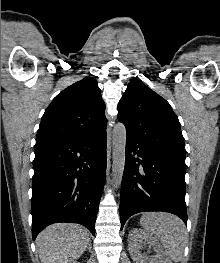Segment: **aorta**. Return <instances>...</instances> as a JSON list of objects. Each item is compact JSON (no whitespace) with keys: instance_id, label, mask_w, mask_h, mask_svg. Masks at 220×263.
I'll return each instance as SVG.
<instances>
[{"instance_id":"aorta-1","label":"aorta","mask_w":220,"mask_h":263,"mask_svg":"<svg viewBox=\"0 0 220 263\" xmlns=\"http://www.w3.org/2000/svg\"><path fill=\"white\" fill-rule=\"evenodd\" d=\"M113 164L112 183L114 188H119L122 182L125 166L126 129L122 123L115 125L113 129Z\"/></svg>"}]
</instances>
